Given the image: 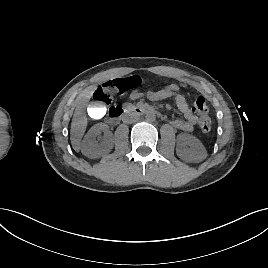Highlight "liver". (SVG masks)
I'll list each match as a JSON object with an SVG mask.
<instances>
[{
    "mask_svg": "<svg viewBox=\"0 0 268 268\" xmlns=\"http://www.w3.org/2000/svg\"><path fill=\"white\" fill-rule=\"evenodd\" d=\"M94 90L95 87L90 86L84 89L77 98V105L70 129L71 144L76 151H79L80 149V142L87 127L86 106L88 105Z\"/></svg>",
    "mask_w": 268,
    "mask_h": 268,
    "instance_id": "6515ba94",
    "label": "liver"
}]
</instances>
